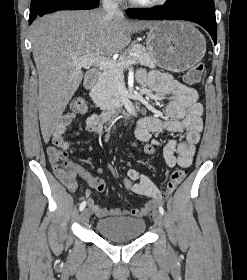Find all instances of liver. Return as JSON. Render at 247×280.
Listing matches in <instances>:
<instances>
[{
  "instance_id": "6515ba94",
  "label": "liver",
  "mask_w": 247,
  "mask_h": 280,
  "mask_svg": "<svg viewBox=\"0 0 247 280\" xmlns=\"http://www.w3.org/2000/svg\"><path fill=\"white\" fill-rule=\"evenodd\" d=\"M153 23L129 22L103 10L60 11L33 22L30 32L39 78L38 112L46 143L83 78L82 67L73 62L92 54L111 57L129 45L132 33Z\"/></svg>"
}]
</instances>
